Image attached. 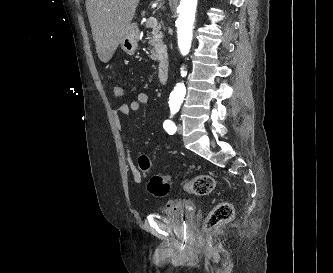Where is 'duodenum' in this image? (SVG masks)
Segmentation results:
<instances>
[{
	"mask_svg": "<svg viewBox=\"0 0 333 273\" xmlns=\"http://www.w3.org/2000/svg\"><path fill=\"white\" fill-rule=\"evenodd\" d=\"M170 64L167 58H161L158 64V78L161 84H165L168 80Z\"/></svg>",
	"mask_w": 333,
	"mask_h": 273,
	"instance_id": "duodenum-1",
	"label": "duodenum"
}]
</instances>
